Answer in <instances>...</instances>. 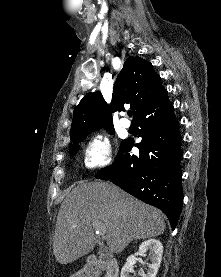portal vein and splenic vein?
<instances>
[{
	"label": "portal vein and splenic vein",
	"instance_id": "portal-vein-and-splenic-vein-1",
	"mask_svg": "<svg viewBox=\"0 0 221 277\" xmlns=\"http://www.w3.org/2000/svg\"><path fill=\"white\" fill-rule=\"evenodd\" d=\"M93 228L96 229V232H97L99 235H101V236L104 235V233H105V227L101 226V225L99 224V222H94V223H93Z\"/></svg>",
	"mask_w": 221,
	"mask_h": 277
}]
</instances>
